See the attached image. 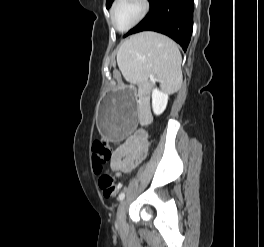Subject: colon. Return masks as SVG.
<instances>
[{
    "instance_id": "5ec220e1",
    "label": "colon",
    "mask_w": 264,
    "mask_h": 247,
    "mask_svg": "<svg viewBox=\"0 0 264 247\" xmlns=\"http://www.w3.org/2000/svg\"><path fill=\"white\" fill-rule=\"evenodd\" d=\"M112 149L104 141H95L92 145V163L95 173L100 174L98 184L105 197H114L119 192V185L110 173H101L111 159Z\"/></svg>"
}]
</instances>
